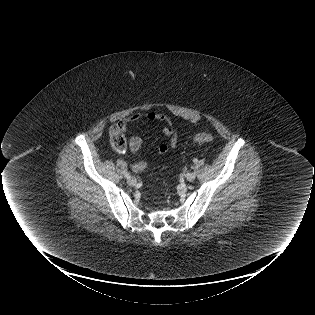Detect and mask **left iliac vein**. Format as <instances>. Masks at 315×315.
Masks as SVG:
<instances>
[{"mask_svg": "<svg viewBox=\"0 0 315 315\" xmlns=\"http://www.w3.org/2000/svg\"><path fill=\"white\" fill-rule=\"evenodd\" d=\"M196 178V174L194 172H189L186 174V179L189 182H192Z\"/></svg>", "mask_w": 315, "mask_h": 315, "instance_id": "1", "label": "left iliac vein"}]
</instances>
